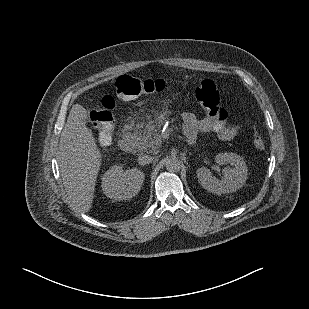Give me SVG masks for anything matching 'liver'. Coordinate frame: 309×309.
Wrapping results in <instances>:
<instances>
[{
    "instance_id": "obj_1",
    "label": "liver",
    "mask_w": 309,
    "mask_h": 309,
    "mask_svg": "<svg viewBox=\"0 0 309 309\" xmlns=\"http://www.w3.org/2000/svg\"><path fill=\"white\" fill-rule=\"evenodd\" d=\"M87 110L74 104L61 132L59 167L68 197L81 211L92 206L101 154L92 130L87 127Z\"/></svg>"
}]
</instances>
